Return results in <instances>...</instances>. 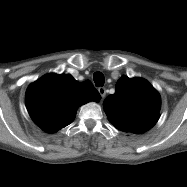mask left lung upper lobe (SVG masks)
Segmentation results:
<instances>
[{
  "mask_svg": "<svg viewBox=\"0 0 187 187\" xmlns=\"http://www.w3.org/2000/svg\"><path fill=\"white\" fill-rule=\"evenodd\" d=\"M103 105L111 124L124 132L143 133L160 117V95L141 78L121 77Z\"/></svg>",
  "mask_w": 187,
  "mask_h": 187,
  "instance_id": "5c2ea615",
  "label": "left lung upper lobe"
}]
</instances>
